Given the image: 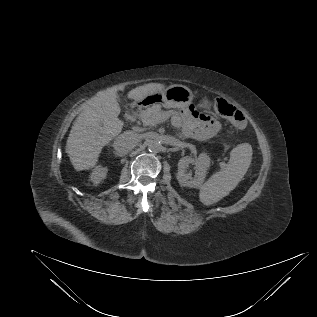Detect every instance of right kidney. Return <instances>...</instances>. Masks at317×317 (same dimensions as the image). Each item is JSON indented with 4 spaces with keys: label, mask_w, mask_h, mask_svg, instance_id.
Returning a JSON list of instances; mask_svg holds the SVG:
<instances>
[{
    "label": "right kidney",
    "mask_w": 317,
    "mask_h": 317,
    "mask_svg": "<svg viewBox=\"0 0 317 317\" xmlns=\"http://www.w3.org/2000/svg\"><path fill=\"white\" fill-rule=\"evenodd\" d=\"M107 171V167H103L101 165L96 166L90 175V180L96 185L99 184L106 178Z\"/></svg>",
    "instance_id": "right-kidney-1"
}]
</instances>
